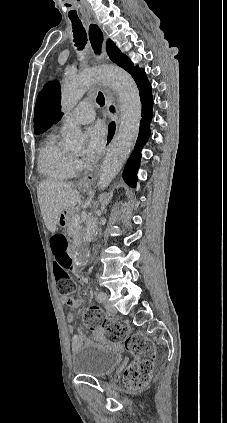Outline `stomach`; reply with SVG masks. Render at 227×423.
I'll return each instance as SVG.
<instances>
[{"label": "stomach", "instance_id": "0dacf381", "mask_svg": "<svg viewBox=\"0 0 227 423\" xmlns=\"http://www.w3.org/2000/svg\"><path fill=\"white\" fill-rule=\"evenodd\" d=\"M92 182H93V180H90V186H82V184H80V182H79L78 186H79L80 190H83V192H86V190H90Z\"/></svg>", "mask_w": 227, "mask_h": 423}]
</instances>
